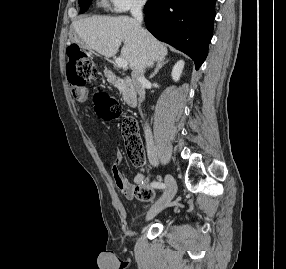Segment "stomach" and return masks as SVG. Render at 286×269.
<instances>
[{
	"instance_id": "obj_1",
	"label": "stomach",
	"mask_w": 286,
	"mask_h": 269,
	"mask_svg": "<svg viewBox=\"0 0 286 269\" xmlns=\"http://www.w3.org/2000/svg\"><path fill=\"white\" fill-rule=\"evenodd\" d=\"M70 40H71V42L77 43V44H79L81 46L84 45L83 40L80 37L76 36V35H71L70 36Z\"/></svg>"
}]
</instances>
